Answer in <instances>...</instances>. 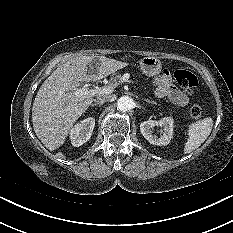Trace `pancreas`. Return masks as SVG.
Returning <instances> with one entry per match:
<instances>
[{
  "mask_svg": "<svg viewBox=\"0 0 233 233\" xmlns=\"http://www.w3.org/2000/svg\"><path fill=\"white\" fill-rule=\"evenodd\" d=\"M119 78L120 75H112V77L109 80V84L116 87L119 84Z\"/></svg>",
  "mask_w": 233,
  "mask_h": 233,
  "instance_id": "cf45deb5",
  "label": "pancreas"
}]
</instances>
